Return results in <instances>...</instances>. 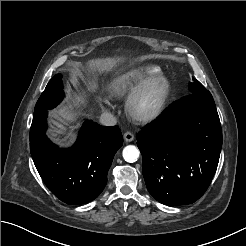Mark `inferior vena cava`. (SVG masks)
I'll list each match as a JSON object with an SVG mask.
<instances>
[{"label": "inferior vena cava", "instance_id": "1", "mask_svg": "<svg viewBox=\"0 0 246 246\" xmlns=\"http://www.w3.org/2000/svg\"><path fill=\"white\" fill-rule=\"evenodd\" d=\"M100 123L104 126H114L117 123L116 117L111 113H102L100 116Z\"/></svg>", "mask_w": 246, "mask_h": 246}]
</instances>
